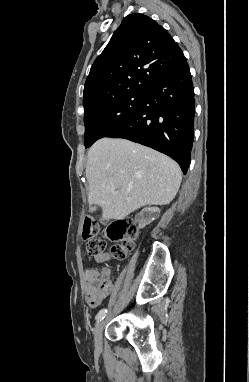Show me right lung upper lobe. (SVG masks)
Masks as SVG:
<instances>
[{
    "mask_svg": "<svg viewBox=\"0 0 249 382\" xmlns=\"http://www.w3.org/2000/svg\"><path fill=\"white\" fill-rule=\"evenodd\" d=\"M186 58L168 32L143 14L126 16L94 61L84 85V108L147 91Z\"/></svg>",
    "mask_w": 249,
    "mask_h": 382,
    "instance_id": "1",
    "label": "right lung upper lobe"
}]
</instances>
